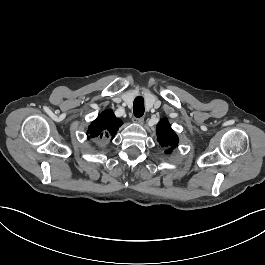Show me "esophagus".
<instances>
[{
  "label": "esophagus",
  "instance_id": "34e87169",
  "mask_svg": "<svg viewBox=\"0 0 265 265\" xmlns=\"http://www.w3.org/2000/svg\"><path fill=\"white\" fill-rule=\"evenodd\" d=\"M132 121H133L134 123H136V124H142L143 121H144V119H143V117H133V118H132Z\"/></svg>",
  "mask_w": 265,
  "mask_h": 265
}]
</instances>
